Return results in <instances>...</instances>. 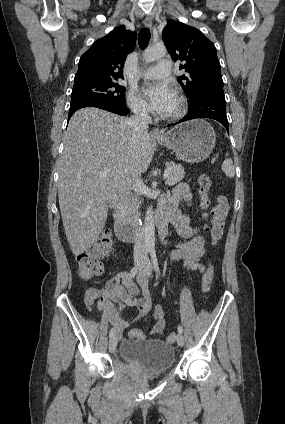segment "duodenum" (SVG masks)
I'll use <instances>...</instances> for the list:
<instances>
[{"instance_id": "obj_1", "label": "duodenum", "mask_w": 285, "mask_h": 424, "mask_svg": "<svg viewBox=\"0 0 285 424\" xmlns=\"http://www.w3.org/2000/svg\"><path fill=\"white\" fill-rule=\"evenodd\" d=\"M156 224L161 237L167 233L169 220L168 218L159 213L155 217ZM113 227L119 240L126 243L135 242L139 238L138 229L125 218L124 205L121 201H116L113 207Z\"/></svg>"}]
</instances>
